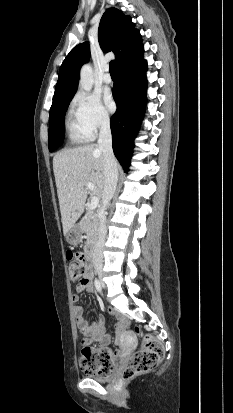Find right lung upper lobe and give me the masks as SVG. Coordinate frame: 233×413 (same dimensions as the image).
I'll return each mask as SVG.
<instances>
[{
    "mask_svg": "<svg viewBox=\"0 0 233 413\" xmlns=\"http://www.w3.org/2000/svg\"><path fill=\"white\" fill-rule=\"evenodd\" d=\"M98 41L104 52H114L117 65L142 45L140 31L131 18L116 8H109L103 14ZM89 56L87 42L75 46L66 56L60 67L52 104L74 96L78 86V70L89 60Z\"/></svg>",
    "mask_w": 233,
    "mask_h": 413,
    "instance_id": "1",
    "label": "right lung upper lobe"
}]
</instances>
